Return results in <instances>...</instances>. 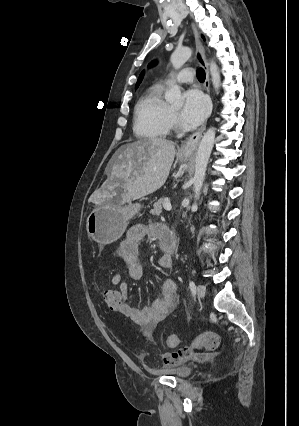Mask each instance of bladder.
<instances>
[{"label":"bladder","instance_id":"1","mask_svg":"<svg viewBox=\"0 0 299 426\" xmlns=\"http://www.w3.org/2000/svg\"><path fill=\"white\" fill-rule=\"evenodd\" d=\"M162 373L171 375L177 378H186L192 374V369L188 366H170L162 369Z\"/></svg>","mask_w":299,"mask_h":426}]
</instances>
